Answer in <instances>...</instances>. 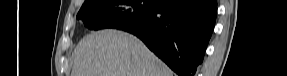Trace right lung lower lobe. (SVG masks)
<instances>
[{
  "mask_svg": "<svg viewBox=\"0 0 287 76\" xmlns=\"http://www.w3.org/2000/svg\"><path fill=\"white\" fill-rule=\"evenodd\" d=\"M216 15V0H156L145 20L122 30L140 38L179 76H195Z\"/></svg>",
  "mask_w": 287,
  "mask_h": 76,
  "instance_id": "right-lung-lower-lobe-1",
  "label": "right lung lower lobe"
}]
</instances>
